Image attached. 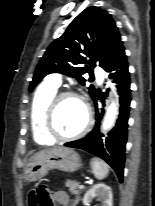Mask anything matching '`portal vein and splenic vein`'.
<instances>
[{
  "label": "portal vein and splenic vein",
  "instance_id": "1",
  "mask_svg": "<svg viewBox=\"0 0 155 206\" xmlns=\"http://www.w3.org/2000/svg\"><path fill=\"white\" fill-rule=\"evenodd\" d=\"M78 187H79V188H84V185H79Z\"/></svg>",
  "mask_w": 155,
  "mask_h": 206
}]
</instances>
